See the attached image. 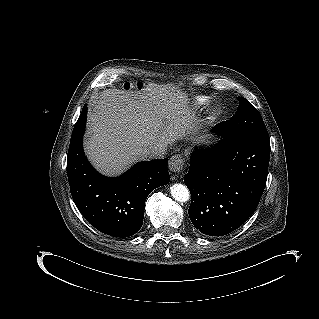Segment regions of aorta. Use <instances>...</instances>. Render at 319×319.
I'll return each instance as SVG.
<instances>
[{"mask_svg": "<svg viewBox=\"0 0 319 319\" xmlns=\"http://www.w3.org/2000/svg\"><path fill=\"white\" fill-rule=\"evenodd\" d=\"M170 193L172 197L178 202H187L190 198V192L188 188L183 184H173L170 187Z\"/></svg>", "mask_w": 319, "mask_h": 319, "instance_id": "762f6f07", "label": "aorta"}]
</instances>
